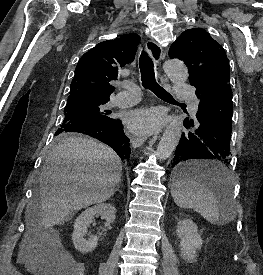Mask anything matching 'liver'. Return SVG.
<instances>
[{
    "mask_svg": "<svg viewBox=\"0 0 263 275\" xmlns=\"http://www.w3.org/2000/svg\"><path fill=\"white\" fill-rule=\"evenodd\" d=\"M121 171L120 158L108 146L81 136L65 138L46 159L40 197L27 213L38 209L45 227L63 224L82 208L109 199Z\"/></svg>",
    "mask_w": 263,
    "mask_h": 275,
    "instance_id": "liver-1",
    "label": "liver"
}]
</instances>
